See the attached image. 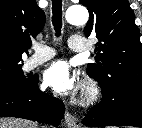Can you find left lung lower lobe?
Returning a JSON list of instances; mask_svg holds the SVG:
<instances>
[{
	"mask_svg": "<svg viewBox=\"0 0 142 128\" xmlns=\"http://www.w3.org/2000/svg\"><path fill=\"white\" fill-rule=\"evenodd\" d=\"M87 127H142V91L102 92L100 103L82 120Z\"/></svg>",
	"mask_w": 142,
	"mask_h": 128,
	"instance_id": "1",
	"label": "left lung lower lobe"
}]
</instances>
